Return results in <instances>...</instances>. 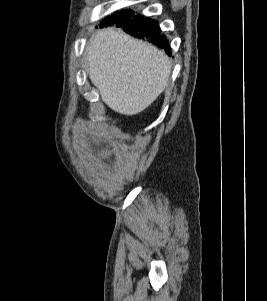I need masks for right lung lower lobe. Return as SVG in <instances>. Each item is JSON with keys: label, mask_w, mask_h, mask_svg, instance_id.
I'll return each mask as SVG.
<instances>
[{"label": "right lung lower lobe", "mask_w": 267, "mask_h": 301, "mask_svg": "<svg viewBox=\"0 0 267 301\" xmlns=\"http://www.w3.org/2000/svg\"><path fill=\"white\" fill-rule=\"evenodd\" d=\"M115 24L117 27H122L130 35L146 39L148 42L161 47L171 56L169 40L165 35L161 34L157 21L149 18L144 19L138 15L125 18Z\"/></svg>", "instance_id": "right-lung-lower-lobe-1"}]
</instances>
